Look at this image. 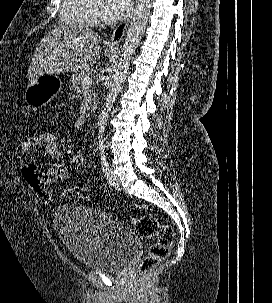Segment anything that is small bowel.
I'll return each instance as SVG.
<instances>
[{
  "mask_svg": "<svg viewBox=\"0 0 272 303\" xmlns=\"http://www.w3.org/2000/svg\"><path fill=\"white\" fill-rule=\"evenodd\" d=\"M42 148L37 135H32L21 141L17 148V162L21 167H25L24 155L29 153L33 149ZM45 154L53 159L58 160L61 157V151L59 148L56 149H45ZM39 174V179L44 187H49L51 185L59 184L64 182L68 178V170L62 166H55L43 171H37Z\"/></svg>",
  "mask_w": 272,
  "mask_h": 303,
  "instance_id": "obj_1",
  "label": "small bowel"
}]
</instances>
